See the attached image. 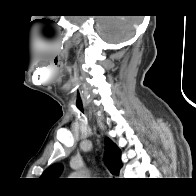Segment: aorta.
Returning a JSON list of instances; mask_svg holds the SVG:
<instances>
[{"label":"aorta","mask_w":196,"mask_h":196,"mask_svg":"<svg viewBox=\"0 0 196 196\" xmlns=\"http://www.w3.org/2000/svg\"><path fill=\"white\" fill-rule=\"evenodd\" d=\"M75 176H79V174L76 173Z\"/></svg>","instance_id":"obj_1"}]
</instances>
